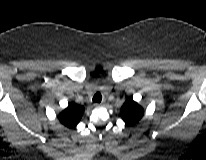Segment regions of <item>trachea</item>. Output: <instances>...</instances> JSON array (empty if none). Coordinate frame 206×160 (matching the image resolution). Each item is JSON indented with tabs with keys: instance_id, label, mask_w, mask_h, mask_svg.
Here are the masks:
<instances>
[{
	"instance_id": "3493384b",
	"label": "trachea",
	"mask_w": 206,
	"mask_h": 160,
	"mask_svg": "<svg viewBox=\"0 0 206 160\" xmlns=\"http://www.w3.org/2000/svg\"><path fill=\"white\" fill-rule=\"evenodd\" d=\"M102 100V95L100 92H97L94 97H93V102L94 103H100Z\"/></svg>"
}]
</instances>
